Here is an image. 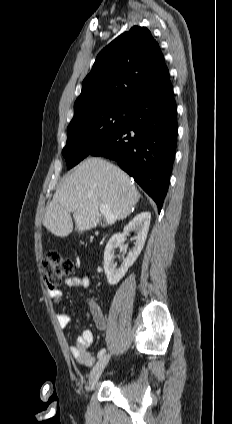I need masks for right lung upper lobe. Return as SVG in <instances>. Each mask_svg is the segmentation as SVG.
<instances>
[{
	"label": "right lung upper lobe",
	"instance_id": "cb5924a9",
	"mask_svg": "<svg viewBox=\"0 0 232 424\" xmlns=\"http://www.w3.org/2000/svg\"><path fill=\"white\" fill-rule=\"evenodd\" d=\"M168 74L161 49L150 31L134 26L98 54L82 83L74 116L95 106H132Z\"/></svg>",
	"mask_w": 232,
	"mask_h": 424
}]
</instances>
